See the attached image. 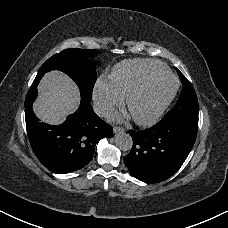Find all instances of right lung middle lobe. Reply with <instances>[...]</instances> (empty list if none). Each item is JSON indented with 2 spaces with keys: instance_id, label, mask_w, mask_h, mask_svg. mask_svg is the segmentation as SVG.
Here are the masks:
<instances>
[{
  "instance_id": "1",
  "label": "right lung middle lobe",
  "mask_w": 228,
  "mask_h": 228,
  "mask_svg": "<svg viewBox=\"0 0 228 228\" xmlns=\"http://www.w3.org/2000/svg\"><path fill=\"white\" fill-rule=\"evenodd\" d=\"M95 50L66 49L49 58L40 68L35 80L51 70H60L68 74L79 86L81 100L90 102L96 82L95 66L86 57H95Z\"/></svg>"
}]
</instances>
